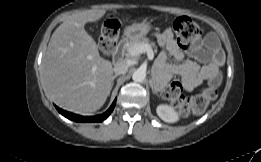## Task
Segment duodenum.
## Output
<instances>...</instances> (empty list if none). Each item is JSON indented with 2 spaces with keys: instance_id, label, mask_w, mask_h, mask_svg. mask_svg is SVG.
Instances as JSON below:
<instances>
[{
  "instance_id": "obj_1",
  "label": "duodenum",
  "mask_w": 261,
  "mask_h": 162,
  "mask_svg": "<svg viewBox=\"0 0 261 162\" xmlns=\"http://www.w3.org/2000/svg\"><path fill=\"white\" fill-rule=\"evenodd\" d=\"M126 42V37H122L118 44H117V49L119 50V54H120V50L123 48L124 44Z\"/></svg>"
}]
</instances>
